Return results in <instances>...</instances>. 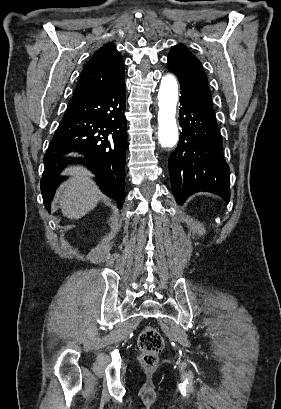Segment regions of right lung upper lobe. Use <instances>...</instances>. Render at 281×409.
Returning <instances> with one entry per match:
<instances>
[{"mask_svg":"<svg viewBox=\"0 0 281 409\" xmlns=\"http://www.w3.org/2000/svg\"><path fill=\"white\" fill-rule=\"evenodd\" d=\"M124 78V60L113 43L98 49L84 67L73 100L98 95Z\"/></svg>","mask_w":281,"mask_h":409,"instance_id":"1","label":"right lung upper lobe"}]
</instances>
